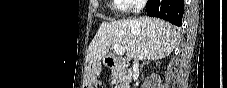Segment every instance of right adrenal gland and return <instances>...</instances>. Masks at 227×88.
Segmentation results:
<instances>
[{"mask_svg":"<svg viewBox=\"0 0 227 88\" xmlns=\"http://www.w3.org/2000/svg\"><path fill=\"white\" fill-rule=\"evenodd\" d=\"M149 62H150V59H146V60L142 63V65L140 66V69H142L143 66H144L145 64H148Z\"/></svg>","mask_w":227,"mask_h":88,"instance_id":"2a0ac1e0","label":"right adrenal gland"}]
</instances>
